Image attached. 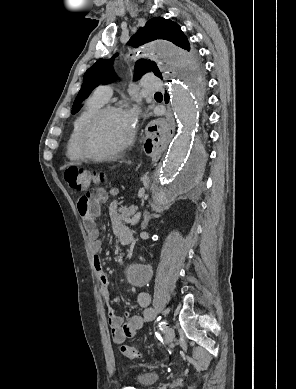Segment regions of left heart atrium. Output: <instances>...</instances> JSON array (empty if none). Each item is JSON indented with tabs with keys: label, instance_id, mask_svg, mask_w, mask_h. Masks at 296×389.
Listing matches in <instances>:
<instances>
[{
	"label": "left heart atrium",
	"instance_id": "1",
	"mask_svg": "<svg viewBox=\"0 0 296 389\" xmlns=\"http://www.w3.org/2000/svg\"><path fill=\"white\" fill-rule=\"evenodd\" d=\"M126 115L131 123V125L133 126L135 121H136V118H137V110L135 108L129 110L126 112Z\"/></svg>",
	"mask_w": 296,
	"mask_h": 389
}]
</instances>
